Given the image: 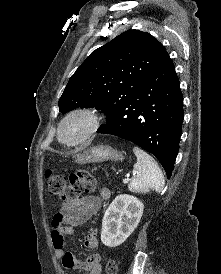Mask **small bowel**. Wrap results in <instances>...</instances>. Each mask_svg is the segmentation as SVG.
Masks as SVG:
<instances>
[{"label":"small bowel","mask_w":221,"mask_h":274,"mask_svg":"<svg viewBox=\"0 0 221 274\" xmlns=\"http://www.w3.org/2000/svg\"><path fill=\"white\" fill-rule=\"evenodd\" d=\"M111 191L102 188L100 196L80 197L68 203L55 213L52 220L51 239L57 258L61 259L62 265L69 270H83L88 274H101L102 264L99 253L90 254L85 261H80L72 252L65 251L64 239L74 233L75 228L84 224L95 215L103 202L109 200ZM84 246L88 250L98 247L97 230L84 237Z\"/></svg>","instance_id":"small-bowel-1"}]
</instances>
